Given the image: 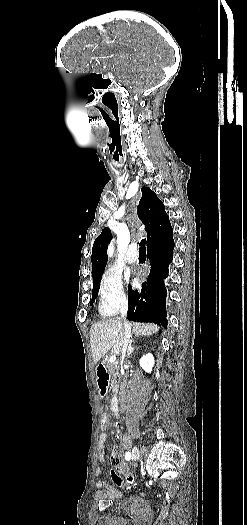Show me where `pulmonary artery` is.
<instances>
[{
  "label": "pulmonary artery",
  "instance_id": "e3ab8cb5",
  "mask_svg": "<svg viewBox=\"0 0 247 525\" xmlns=\"http://www.w3.org/2000/svg\"><path fill=\"white\" fill-rule=\"evenodd\" d=\"M125 254H126L125 261L127 263H132L134 259H136V256H133L134 254L133 247L126 249Z\"/></svg>",
  "mask_w": 247,
  "mask_h": 525
}]
</instances>
